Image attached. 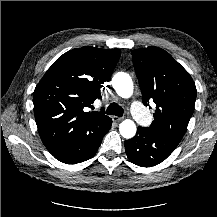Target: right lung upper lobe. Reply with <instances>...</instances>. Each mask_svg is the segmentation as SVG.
Masks as SVG:
<instances>
[{
  "mask_svg": "<svg viewBox=\"0 0 217 217\" xmlns=\"http://www.w3.org/2000/svg\"><path fill=\"white\" fill-rule=\"evenodd\" d=\"M119 49L91 46L60 56L44 74L33 94L34 114L43 144L49 152L77 145L96 126L110 118L103 112H85L119 60Z\"/></svg>",
  "mask_w": 217,
  "mask_h": 217,
  "instance_id": "right-lung-upper-lobe-1",
  "label": "right lung upper lobe"
}]
</instances>
